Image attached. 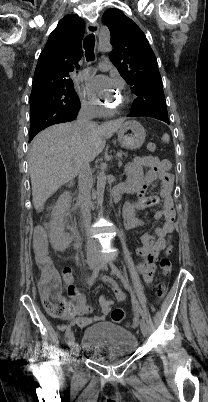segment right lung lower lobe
I'll return each mask as SVG.
<instances>
[{"instance_id": "1", "label": "right lung lower lobe", "mask_w": 208, "mask_h": 402, "mask_svg": "<svg viewBox=\"0 0 208 402\" xmlns=\"http://www.w3.org/2000/svg\"><path fill=\"white\" fill-rule=\"evenodd\" d=\"M79 108L74 112H67V113L53 114V115L47 114V115H41L39 117L31 118L29 142L34 138V136L38 132H40L41 130L45 129L48 126L74 120L77 117Z\"/></svg>"}]
</instances>
